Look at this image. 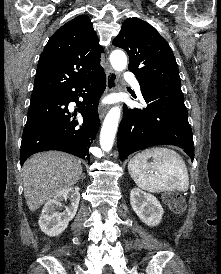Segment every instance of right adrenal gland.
<instances>
[{"label":"right adrenal gland","instance_id":"1","mask_svg":"<svg viewBox=\"0 0 221 274\" xmlns=\"http://www.w3.org/2000/svg\"><path fill=\"white\" fill-rule=\"evenodd\" d=\"M81 178H85V174L84 173L82 174Z\"/></svg>","mask_w":221,"mask_h":274}]
</instances>
